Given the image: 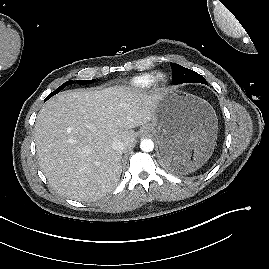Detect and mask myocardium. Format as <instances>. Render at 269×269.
Masks as SVG:
<instances>
[{"label":"myocardium","mask_w":269,"mask_h":269,"mask_svg":"<svg viewBox=\"0 0 269 269\" xmlns=\"http://www.w3.org/2000/svg\"><path fill=\"white\" fill-rule=\"evenodd\" d=\"M167 82H168L167 75L163 72H158L154 76V84L156 86H164L165 84H167Z\"/></svg>","instance_id":"f54148a6"}]
</instances>
